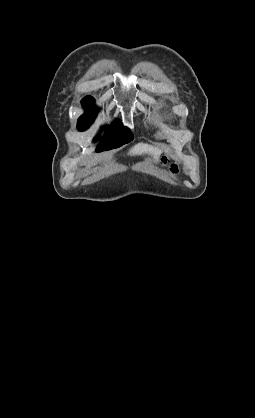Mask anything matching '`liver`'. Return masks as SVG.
Wrapping results in <instances>:
<instances>
[{
    "label": "liver",
    "instance_id": "obj_1",
    "mask_svg": "<svg viewBox=\"0 0 255 418\" xmlns=\"http://www.w3.org/2000/svg\"><path fill=\"white\" fill-rule=\"evenodd\" d=\"M162 150L157 148V147H153L151 145L148 144H144V143H139L136 144L135 146H133L130 151H129V155H142L145 153H149L151 155H153V158L155 160H158L160 157Z\"/></svg>",
    "mask_w": 255,
    "mask_h": 418
}]
</instances>
